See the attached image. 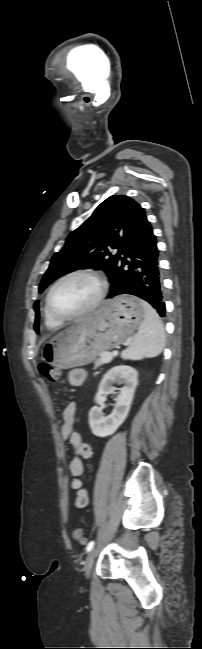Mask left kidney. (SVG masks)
Here are the masks:
<instances>
[{
    "mask_svg": "<svg viewBox=\"0 0 202 649\" xmlns=\"http://www.w3.org/2000/svg\"><path fill=\"white\" fill-rule=\"evenodd\" d=\"M113 383L124 384L118 393L115 407L110 415L104 416L103 409L97 405L89 412V424L92 434L105 437L113 434L126 419L138 384L137 371L131 366H116L109 370L102 378L95 403L100 404L104 396L115 391Z\"/></svg>",
    "mask_w": 202,
    "mask_h": 649,
    "instance_id": "1",
    "label": "left kidney"
}]
</instances>
